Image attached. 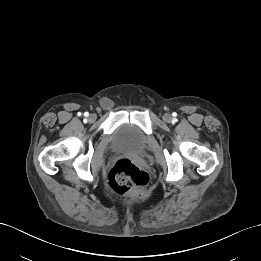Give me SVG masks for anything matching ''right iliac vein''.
<instances>
[{
    "label": "right iliac vein",
    "instance_id": "1",
    "mask_svg": "<svg viewBox=\"0 0 261 261\" xmlns=\"http://www.w3.org/2000/svg\"><path fill=\"white\" fill-rule=\"evenodd\" d=\"M96 120V116L94 115V114H91L90 116H89V121L90 122H94Z\"/></svg>",
    "mask_w": 261,
    "mask_h": 261
}]
</instances>
